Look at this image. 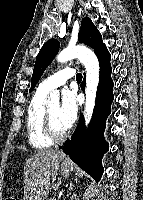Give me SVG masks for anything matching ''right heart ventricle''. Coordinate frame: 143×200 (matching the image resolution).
<instances>
[{"label":"right heart ventricle","instance_id":"obj_1","mask_svg":"<svg viewBox=\"0 0 143 200\" xmlns=\"http://www.w3.org/2000/svg\"><path fill=\"white\" fill-rule=\"evenodd\" d=\"M47 92L39 88L34 93L27 110L26 134L29 144L34 149H46L52 146L53 142L45 137L42 131V120L45 111V99Z\"/></svg>","mask_w":143,"mask_h":200}]
</instances>
